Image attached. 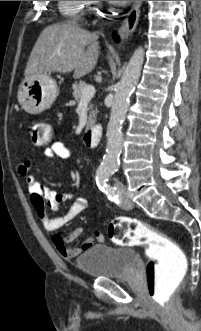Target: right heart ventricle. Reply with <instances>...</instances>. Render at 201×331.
<instances>
[{
  "label": "right heart ventricle",
  "instance_id": "right-heart-ventricle-1",
  "mask_svg": "<svg viewBox=\"0 0 201 331\" xmlns=\"http://www.w3.org/2000/svg\"><path fill=\"white\" fill-rule=\"evenodd\" d=\"M59 9L68 21L79 23L82 20L85 1H58Z\"/></svg>",
  "mask_w": 201,
  "mask_h": 331
}]
</instances>
